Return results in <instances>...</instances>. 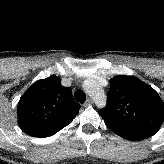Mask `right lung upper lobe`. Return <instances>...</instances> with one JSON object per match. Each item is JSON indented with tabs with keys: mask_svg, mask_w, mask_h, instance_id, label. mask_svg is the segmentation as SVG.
<instances>
[{
	"mask_svg": "<svg viewBox=\"0 0 164 164\" xmlns=\"http://www.w3.org/2000/svg\"><path fill=\"white\" fill-rule=\"evenodd\" d=\"M79 109L70 88L52 75L36 81L20 98L18 124L26 134L38 137L71 122Z\"/></svg>",
	"mask_w": 164,
	"mask_h": 164,
	"instance_id": "cb5924a9",
	"label": "right lung upper lobe"
}]
</instances>
